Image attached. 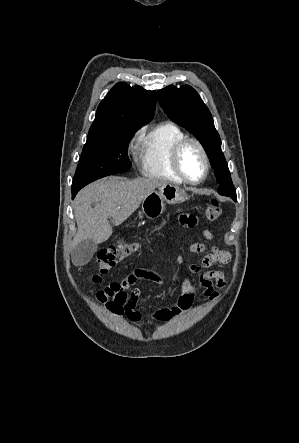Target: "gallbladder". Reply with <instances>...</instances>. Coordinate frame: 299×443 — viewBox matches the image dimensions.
<instances>
[{
  "instance_id": "1",
  "label": "gallbladder",
  "mask_w": 299,
  "mask_h": 443,
  "mask_svg": "<svg viewBox=\"0 0 299 443\" xmlns=\"http://www.w3.org/2000/svg\"><path fill=\"white\" fill-rule=\"evenodd\" d=\"M98 245L91 239L84 240L77 244L73 249V261L78 265L87 264L93 254L96 252Z\"/></svg>"
}]
</instances>
